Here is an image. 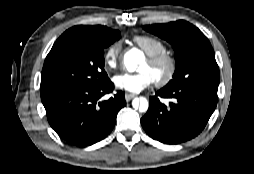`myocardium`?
<instances>
[{
  "mask_svg": "<svg viewBox=\"0 0 254 174\" xmlns=\"http://www.w3.org/2000/svg\"><path fill=\"white\" fill-rule=\"evenodd\" d=\"M146 61L151 66H158L161 64L166 65L165 75L162 78L156 79L154 81L155 85L157 87L162 88V87L167 86L175 77L176 70H177V61H176V58L172 54H170L168 52H162L159 54L148 56Z\"/></svg>",
  "mask_w": 254,
  "mask_h": 174,
  "instance_id": "f54148a6",
  "label": "myocardium"
}]
</instances>
